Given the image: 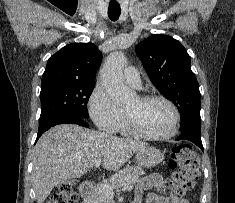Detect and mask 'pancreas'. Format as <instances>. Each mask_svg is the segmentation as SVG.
<instances>
[{
	"mask_svg": "<svg viewBox=\"0 0 235 203\" xmlns=\"http://www.w3.org/2000/svg\"><path fill=\"white\" fill-rule=\"evenodd\" d=\"M143 174L145 173L141 169V167L130 166L114 174L105 183L109 185L112 189L122 186L133 185L139 180V177ZM90 203H114V201L112 198L106 196L101 188V185H98L94 189L90 197Z\"/></svg>",
	"mask_w": 235,
	"mask_h": 203,
	"instance_id": "pancreas-1",
	"label": "pancreas"
}]
</instances>
